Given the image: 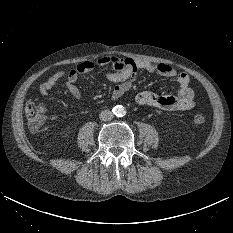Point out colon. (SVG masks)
Wrapping results in <instances>:
<instances>
[{
  "label": "colon",
  "instance_id": "colon-1",
  "mask_svg": "<svg viewBox=\"0 0 233 233\" xmlns=\"http://www.w3.org/2000/svg\"><path fill=\"white\" fill-rule=\"evenodd\" d=\"M25 112L29 122L30 130L33 132L39 131L45 121L44 107L36 104L35 102H30L27 104ZM193 122L196 125H203L205 123V117L201 114H195L193 116Z\"/></svg>",
  "mask_w": 233,
  "mask_h": 233
}]
</instances>
